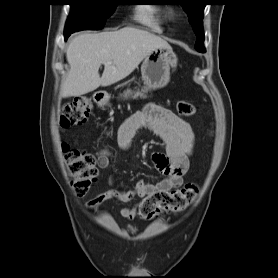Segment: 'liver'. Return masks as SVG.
<instances>
[{
  "mask_svg": "<svg viewBox=\"0 0 278 278\" xmlns=\"http://www.w3.org/2000/svg\"><path fill=\"white\" fill-rule=\"evenodd\" d=\"M156 48H170V45L155 34L133 27L78 35L66 50L70 70L61 94L81 96L100 86L112 85L130 75ZM102 64L104 71L100 77Z\"/></svg>",
  "mask_w": 278,
  "mask_h": 278,
  "instance_id": "6515ba94",
  "label": "liver"
}]
</instances>
